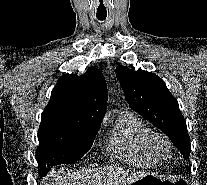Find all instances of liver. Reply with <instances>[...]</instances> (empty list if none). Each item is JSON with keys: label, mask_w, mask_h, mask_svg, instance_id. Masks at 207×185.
<instances>
[{"label": "liver", "mask_w": 207, "mask_h": 185, "mask_svg": "<svg viewBox=\"0 0 207 185\" xmlns=\"http://www.w3.org/2000/svg\"><path fill=\"white\" fill-rule=\"evenodd\" d=\"M54 181H56L54 175H50V177H46L45 181H42V185H54ZM56 183H59V185H76V181H73V179H64V177H60Z\"/></svg>", "instance_id": "6515ba94"}]
</instances>
